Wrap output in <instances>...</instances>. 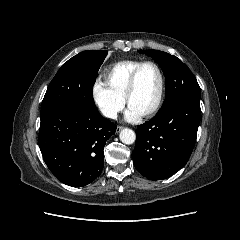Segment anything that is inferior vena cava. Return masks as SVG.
I'll use <instances>...</instances> for the list:
<instances>
[{"instance_id":"inferior-vena-cava-1","label":"inferior vena cava","mask_w":240,"mask_h":240,"mask_svg":"<svg viewBox=\"0 0 240 240\" xmlns=\"http://www.w3.org/2000/svg\"><path fill=\"white\" fill-rule=\"evenodd\" d=\"M102 113L104 116L108 118H112V119L117 118V110L114 108L105 107L102 109Z\"/></svg>"}]
</instances>
